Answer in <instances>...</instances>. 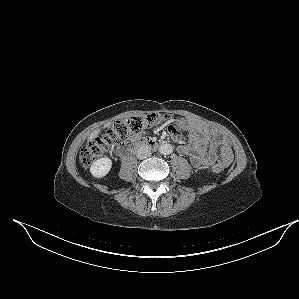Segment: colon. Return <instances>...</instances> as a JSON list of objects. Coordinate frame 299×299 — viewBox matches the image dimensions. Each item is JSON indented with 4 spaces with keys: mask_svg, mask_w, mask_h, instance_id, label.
<instances>
[{
    "mask_svg": "<svg viewBox=\"0 0 299 299\" xmlns=\"http://www.w3.org/2000/svg\"><path fill=\"white\" fill-rule=\"evenodd\" d=\"M162 122L168 124L171 133H178L176 125L169 116L150 114L135 116L127 121H119L112 127L105 130L101 135L90 141L80 152V162L84 167H89L112 146L115 141L126 139L127 137L139 133L142 130L156 126ZM186 141L191 146H199L202 143V136L196 131H189L186 134ZM212 172L219 173L223 170L220 161L212 165Z\"/></svg>",
    "mask_w": 299,
    "mask_h": 299,
    "instance_id": "colon-1",
    "label": "colon"
}]
</instances>
